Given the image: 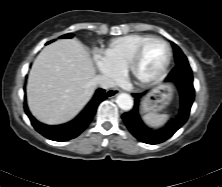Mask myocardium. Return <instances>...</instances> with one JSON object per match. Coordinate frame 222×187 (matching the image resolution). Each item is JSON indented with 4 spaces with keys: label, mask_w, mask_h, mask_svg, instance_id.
<instances>
[{
    "label": "myocardium",
    "mask_w": 222,
    "mask_h": 187,
    "mask_svg": "<svg viewBox=\"0 0 222 187\" xmlns=\"http://www.w3.org/2000/svg\"><path fill=\"white\" fill-rule=\"evenodd\" d=\"M155 41H159L162 42L163 44L166 45L167 49H168V57L167 60L165 62V65L163 66V68L160 70L159 73H157L155 76L151 77V78H142L137 74V68L139 66V63L141 61V58L143 56L144 50L145 48L151 43V42H155ZM172 57H173V50L171 47V44L161 38V37H150L147 40H145L144 42H142L137 49L135 50L134 54L132 55L127 67H126V74L128 75V77L136 84L138 85H152L156 82H158L167 72L171 61H172Z\"/></svg>",
    "instance_id": "obj_1"
}]
</instances>
